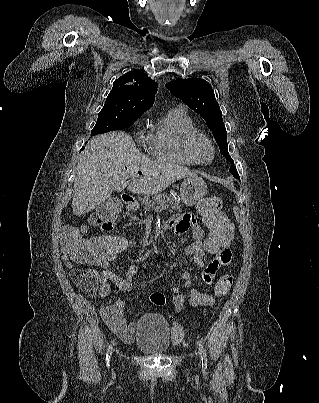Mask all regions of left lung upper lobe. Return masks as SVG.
<instances>
[{
  "instance_id": "left-lung-upper-lobe-1",
  "label": "left lung upper lobe",
  "mask_w": 319,
  "mask_h": 403,
  "mask_svg": "<svg viewBox=\"0 0 319 403\" xmlns=\"http://www.w3.org/2000/svg\"><path fill=\"white\" fill-rule=\"evenodd\" d=\"M166 87L177 98L181 99L188 107L198 113L213 131L216 142L219 145L221 154L231 164H234L228 152L226 140V128L222 119V112L216 101L211 85L198 78L176 79L166 84ZM230 172L234 177L239 178L236 168L231 166Z\"/></svg>"
}]
</instances>
